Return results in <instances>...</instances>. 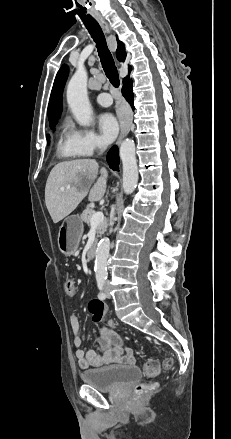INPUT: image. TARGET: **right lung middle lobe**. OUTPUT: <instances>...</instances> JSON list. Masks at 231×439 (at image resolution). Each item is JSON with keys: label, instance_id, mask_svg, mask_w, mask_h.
Returning <instances> with one entry per match:
<instances>
[{"label": "right lung middle lobe", "instance_id": "right-lung-middle-lobe-1", "mask_svg": "<svg viewBox=\"0 0 231 439\" xmlns=\"http://www.w3.org/2000/svg\"><path fill=\"white\" fill-rule=\"evenodd\" d=\"M51 129H53V130H54V129H55V126H52V127H51ZM48 138H49V135L47 136V139H48Z\"/></svg>", "mask_w": 231, "mask_h": 439}]
</instances>
